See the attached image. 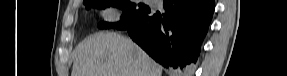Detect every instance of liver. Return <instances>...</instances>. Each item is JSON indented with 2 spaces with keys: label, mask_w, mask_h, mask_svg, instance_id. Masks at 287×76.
<instances>
[{
  "label": "liver",
  "mask_w": 287,
  "mask_h": 76,
  "mask_svg": "<svg viewBox=\"0 0 287 76\" xmlns=\"http://www.w3.org/2000/svg\"><path fill=\"white\" fill-rule=\"evenodd\" d=\"M162 67L132 40L99 32L74 50L71 76H161Z\"/></svg>",
  "instance_id": "obj_1"
}]
</instances>
